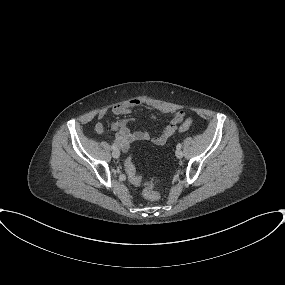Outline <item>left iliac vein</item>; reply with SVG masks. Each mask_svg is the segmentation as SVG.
I'll return each instance as SVG.
<instances>
[{"label": "left iliac vein", "mask_w": 285, "mask_h": 285, "mask_svg": "<svg viewBox=\"0 0 285 285\" xmlns=\"http://www.w3.org/2000/svg\"><path fill=\"white\" fill-rule=\"evenodd\" d=\"M175 154H176V157H177V158H182V157H183V152H182L181 149H177L176 152H175Z\"/></svg>", "instance_id": "obj_1"}]
</instances>
